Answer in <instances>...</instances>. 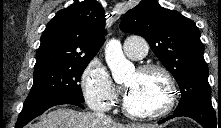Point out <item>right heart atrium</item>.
<instances>
[{"instance_id":"1","label":"right heart atrium","mask_w":221,"mask_h":128,"mask_svg":"<svg viewBox=\"0 0 221 128\" xmlns=\"http://www.w3.org/2000/svg\"><path fill=\"white\" fill-rule=\"evenodd\" d=\"M82 90L87 104L92 108L106 107L112 99V82L106 66L92 59L82 74Z\"/></svg>"}]
</instances>
